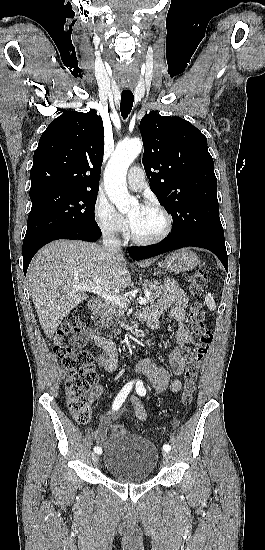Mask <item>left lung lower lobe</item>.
Segmentation results:
<instances>
[{"label": "left lung lower lobe", "instance_id": "obj_1", "mask_svg": "<svg viewBox=\"0 0 265 550\" xmlns=\"http://www.w3.org/2000/svg\"><path fill=\"white\" fill-rule=\"evenodd\" d=\"M187 246L200 247L210 250L219 258L225 269L228 271V256L225 241H220L207 235L185 234L176 237L168 236L159 245L130 247L128 248V253L133 259L141 260Z\"/></svg>", "mask_w": 265, "mask_h": 550}]
</instances>
